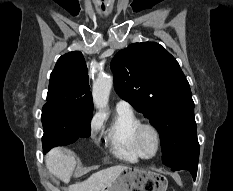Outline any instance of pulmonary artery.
<instances>
[{
    "label": "pulmonary artery",
    "instance_id": "1",
    "mask_svg": "<svg viewBox=\"0 0 233 191\" xmlns=\"http://www.w3.org/2000/svg\"><path fill=\"white\" fill-rule=\"evenodd\" d=\"M116 109L117 110H122V111H131V106L130 104L125 101V100H118L116 103Z\"/></svg>",
    "mask_w": 233,
    "mask_h": 191
}]
</instances>
